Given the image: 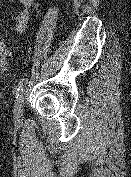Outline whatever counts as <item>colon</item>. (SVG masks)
<instances>
[{
  "label": "colon",
  "instance_id": "obj_1",
  "mask_svg": "<svg viewBox=\"0 0 131 177\" xmlns=\"http://www.w3.org/2000/svg\"><path fill=\"white\" fill-rule=\"evenodd\" d=\"M9 50L4 40L0 39V70H6L8 65Z\"/></svg>",
  "mask_w": 131,
  "mask_h": 177
}]
</instances>
